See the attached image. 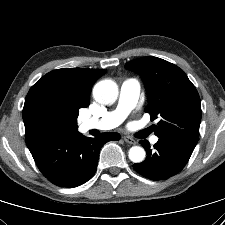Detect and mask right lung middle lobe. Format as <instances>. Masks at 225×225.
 Instances as JSON below:
<instances>
[{
  "label": "right lung middle lobe",
  "instance_id": "obj_1",
  "mask_svg": "<svg viewBox=\"0 0 225 225\" xmlns=\"http://www.w3.org/2000/svg\"><path fill=\"white\" fill-rule=\"evenodd\" d=\"M82 106L68 109H50L47 112V121L52 131L66 132L77 130V117Z\"/></svg>",
  "mask_w": 225,
  "mask_h": 225
}]
</instances>
